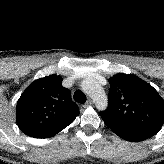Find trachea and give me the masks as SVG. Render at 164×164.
Masks as SVG:
<instances>
[{
    "label": "trachea",
    "instance_id": "trachea-1",
    "mask_svg": "<svg viewBox=\"0 0 164 164\" xmlns=\"http://www.w3.org/2000/svg\"><path fill=\"white\" fill-rule=\"evenodd\" d=\"M74 100L78 103L84 104L86 102L87 98L82 91L77 90L74 93Z\"/></svg>",
    "mask_w": 164,
    "mask_h": 164
}]
</instances>
